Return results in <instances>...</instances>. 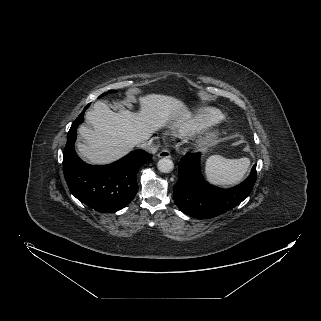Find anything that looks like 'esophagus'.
<instances>
[{
	"instance_id": "esophagus-1",
	"label": "esophagus",
	"mask_w": 321,
	"mask_h": 321,
	"mask_svg": "<svg viewBox=\"0 0 321 321\" xmlns=\"http://www.w3.org/2000/svg\"><path fill=\"white\" fill-rule=\"evenodd\" d=\"M159 158H170V152L168 150H162L157 155Z\"/></svg>"
}]
</instances>
